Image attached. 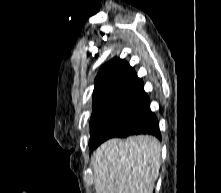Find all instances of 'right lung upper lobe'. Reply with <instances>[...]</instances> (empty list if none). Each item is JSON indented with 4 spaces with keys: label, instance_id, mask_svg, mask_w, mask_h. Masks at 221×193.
I'll return each instance as SVG.
<instances>
[{
    "label": "right lung upper lobe",
    "instance_id": "obj_1",
    "mask_svg": "<svg viewBox=\"0 0 221 193\" xmlns=\"http://www.w3.org/2000/svg\"><path fill=\"white\" fill-rule=\"evenodd\" d=\"M123 101H147L143 82L122 59L114 58L99 71L93 91V113Z\"/></svg>",
    "mask_w": 221,
    "mask_h": 193
}]
</instances>
